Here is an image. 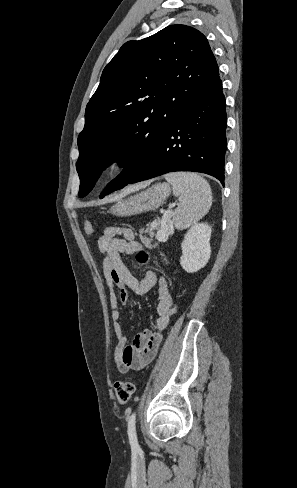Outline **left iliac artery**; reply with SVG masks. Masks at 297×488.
<instances>
[{
  "mask_svg": "<svg viewBox=\"0 0 297 488\" xmlns=\"http://www.w3.org/2000/svg\"><path fill=\"white\" fill-rule=\"evenodd\" d=\"M135 420L136 414L132 413V415L128 418V436L132 451L137 452L140 450V447L136 435Z\"/></svg>",
  "mask_w": 297,
  "mask_h": 488,
  "instance_id": "obj_1",
  "label": "left iliac artery"
}]
</instances>
